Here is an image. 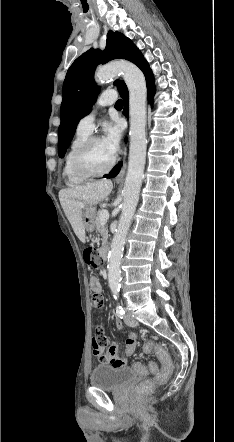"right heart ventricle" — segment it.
Here are the masks:
<instances>
[{
	"instance_id": "right-heart-ventricle-1",
	"label": "right heart ventricle",
	"mask_w": 234,
	"mask_h": 442,
	"mask_svg": "<svg viewBox=\"0 0 234 442\" xmlns=\"http://www.w3.org/2000/svg\"><path fill=\"white\" fill-rule=\"evenodd\" d=\"M89 137V134L76 131L71 143L69 145L68 151L65 156L63 175L66 179L67 184L71 186H77L85 183L88 178L78 175L73 167V156L78 149V147Z\"/></svg>"
}]
</instances>
